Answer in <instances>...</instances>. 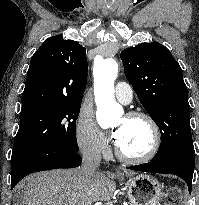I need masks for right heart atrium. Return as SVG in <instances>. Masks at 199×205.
<instances>
[{
    "mask_svg": "<svg viewBox=\"0 0 199 205\" xmlns=\"http://www.w3.org/2000/svg\"><path fill=\"white\" fill-rule=\"evenodd\" d=\"M76 141L80 151L88 157L99 158L107 153L106 138L89 112L82 111L78 117Z\"/></svg>",
    "mask_w": 199,
    "mask_h": 205,
    "instance_id": "d8ad5b80",
    "label": "right heart atrium"
}]
</instances>
